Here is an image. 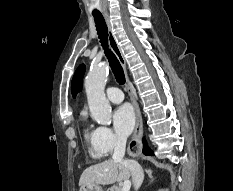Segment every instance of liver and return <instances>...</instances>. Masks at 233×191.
<instances>
[{"label":"liver","mask_w":233,"mask_h":191,"mask_svg":"<svg viewBox=\"0 0 233 191\" xmlns=\"http://www.w3.org/2000/svg\"><path fill=\"white\" fill-rule=\"evenodd\" d=\"M130 176L128 167L110 159L86 168L81 174L79 186L111 185L128 180Z\"/></svg>","instance_id":"1"}]
</instances>
